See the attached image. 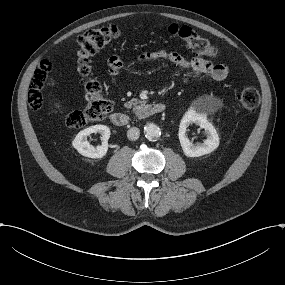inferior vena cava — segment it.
I'll return each mask as SVG.
<instances>
[{
  "instance_id": "obj_1",
  "label": "inferior vena cava",
  "mask_w": 285,
  "mask_h": 285,
  "mask_svg": "<svg viewBox=\"0 0 285 285\" xmlns=\"http://www.w3.org/2000/svg\"><path fill=\"white\" fill-rule=\"evenodd\" d=\"M127 136L129 140H137L140 136V131L137 127H131L127 132Z\"/></svg>"
}]
</instances>
